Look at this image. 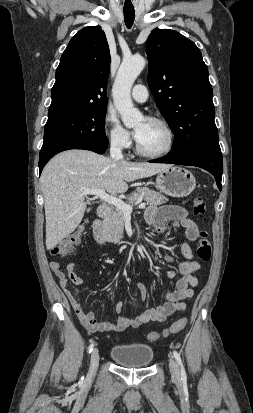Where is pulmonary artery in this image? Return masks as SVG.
Instances as JSON below:
<instances>
[{
	"instance_id": "pulmonary-artery-1",
	"label": "pulmonary artery",
	"mask_w": 253,
	"mask_h": 413,
	"mask_svg": "<svg viewBox=\"0 0 253 413\" xmlns=\"http://www.w3.org/2000/svg\"><path fill=\"white\" fill-rule=\"evenodd\" d=\"M132 98L139 103H144L148 99L147 88L142 84H137L132 90Z\"/></svg>"
}]
</instances>
